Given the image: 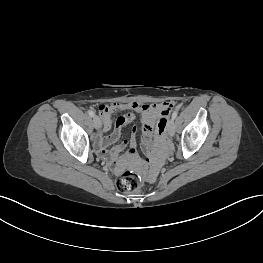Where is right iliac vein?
I'll use <instances>...</instances> for the list:
<instances>
[{
    "instance_id": "1",
    "label": "right iliac vein",
    "mask_w": 263,
    "mask_h": 263,
    "mask_svg": "<svg viewBox=\"0 0 263 263\" xmlns=\"http://www.w3.org/2000/svg\"><path fill=\"white\" fill-rule=\"evenodd\" d=\"M93 123H94V127L95 129H100L101 128V120L98 116H94L93 118Z\"/></svg>"
}]
</instances>
